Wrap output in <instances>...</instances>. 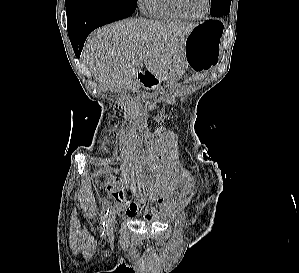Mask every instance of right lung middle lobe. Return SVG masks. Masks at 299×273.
<instances>
[{
    "label": "right lung middle lobe",
    "mask_w": 299,
    "mask_h": 273,
    "mask_svg": "<svg viewBox=\"0 0 299 273\" xmlns=\"http://www.w3.org/2000/svg\"><path fill=\"white\" fill-rule=\"evenodd\" d=\"M66 1V5L69 3V2H72V1H114V2H119V3H125V4H136L137 3V0H65Z\"/></svg>",
    "instance_id": "right-lung-middle-lobe-1"
}]
</instances>
